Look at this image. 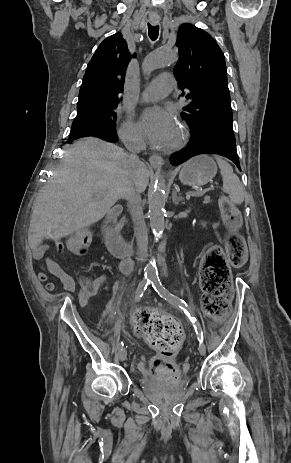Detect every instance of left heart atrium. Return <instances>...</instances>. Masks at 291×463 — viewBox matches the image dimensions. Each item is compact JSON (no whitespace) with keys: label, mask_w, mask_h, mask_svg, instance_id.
Wrapping results in <instances>:
<instances>
[{"label":"left heart atrium","mask_w":291,"mask_h":463,"mask_svg":"<svg viewBox=\"0 0 291 463\" xmlns=\"http://www.w3.org/2000/svg\"><path fill=\"white\" fill-rule=\"evenodd\" d=\"M140 126L146 138L155 146L170 144L177 131L173 115L160 107L146 109L141 115Z\"/></svg>","instance_id":"obj_1"}]
</instances>
